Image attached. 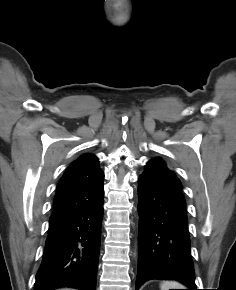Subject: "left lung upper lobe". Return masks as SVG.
<instances>
[{
    "label": "left lung upper lobe",
    "instance_id": "left-lung-upper-lobe-1",
    "mask_svg": "<svg viewBox=\"0 0 236 290\" xmlns=\"http://www.w3.org/2000/svg\"><path fill=\"white\" fill-rule=\"evenodd\" d=\"M142 176L150 177L161 182L168 183L179 189L182 188L181 182L178 180L174 172L167 168L166 163L160 158H154L148 161Z\"/></svg>",
    "mask_w": 236,
    "mask_h": 290
}]
</instances>
